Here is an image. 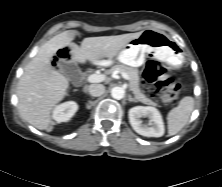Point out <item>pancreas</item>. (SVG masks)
I'll return each mask as SVG.
<instances>
[{
  "label": "pancreas",
  "mask_w": 222,
  "mask_h": 187,
  "mask_svg": "<svg viewBox=\"0 0 222 187\" xmlns=\"http://www.w3.org/2000/svg\"><path fill=\"white\" fill-rule=\"evenodd\" d=\"M119 71L124 72L129 76V88L135 96V99L143 104L157 106V103L147 98L139 88V71L136 68L128 67L126 65L118 64L114 65L110 72Z\"/></svg>",
  "instance_id": "pancreas-1"
}]
</instances>
